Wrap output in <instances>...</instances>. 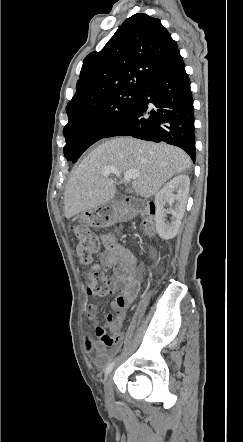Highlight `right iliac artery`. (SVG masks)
Instances as JSON below:
<instances>
[{"label":"right iliac artery","instance_id":"obj_1","mask_svg":"<svg viewBox=\"0 0 243 442\" xmlns=\"http://www.w3.org/2000/svg\"><path fill=\"white\" fill-rule=\"evenodd\" d=\"M114 364H115V360H114L113 362H111V363L108 364V366H107V368H106V370H105V376H106V377L108 376V374H109V373L111 372V370L113 369Z\"/></svg>","mask_w":243,"mask_h":442}]
</instances>
